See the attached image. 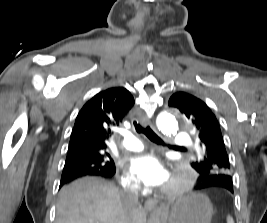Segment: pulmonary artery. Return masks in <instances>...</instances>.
I'll return each mask as SVG.
<instances>
[{
    "label": "pulmonary artery",
    "mask_w": 267,
    "mask_h": 223,
    "mask_svg": "<svg viewBox=\"0 0 267 223\" xmlns=\"http://www.w3.org/2000/svg\"><path fill=\"white\" fill-rule=\"evenodd\" d=\"M173 143L181 147L187 144V139L182 136H177L174 139ZM123 145L126 149L130 151H140L144 148V145L141 140H139L135 135L131 133L126 134L125 139L123 141Z\"/></svg>",
    "instance_id": "1"
}]
</instances>
